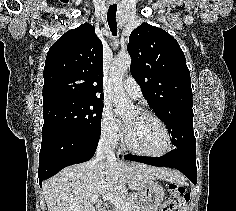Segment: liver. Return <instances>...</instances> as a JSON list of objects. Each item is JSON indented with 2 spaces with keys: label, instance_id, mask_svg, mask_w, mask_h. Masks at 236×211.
<instances>
[{
  "label": "liver",
  "instance_id": "1",
  "mask_svg": "<svg viewBox=\"0 0 236 211\" xmlns=\"http://www.w3.org/2000/svg\"><path fill=\"white\" fill-rule=\"evenodd\" d=\"M93 161L66 167L43 184L48 211H97L104 195L125 192L127 185L139 191L155 179L180 180V175L169 169L119 160ZM93 196L98 199L93 201Z\"/></svg>",
  "mask_w": 236,
  "mask_h": 211
}]
</instances>
